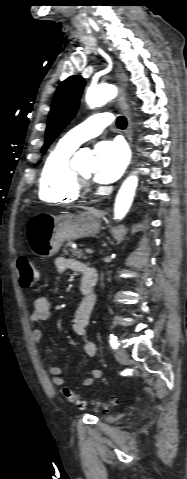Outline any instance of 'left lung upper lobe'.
Here are the masks:
<instances>
[{"mask_svg": "<svg viewBox=\"0 0 187 479\" xmlns=\"http://www.w3.org/2000/svg\"><path fill=\"white\" fill-rule=\"evenodd\" d=\"M84 86L85 80L79 75H74L64 80L57 88L49 113L42 152L46 151L59 132L76 114Z\"/></svg>", "mask_w": 187, "mask_h": 479, "instance_id": "obj_1", "label": "left lung upper lobe"}]
</instances>
